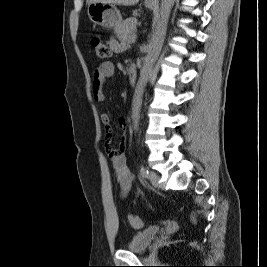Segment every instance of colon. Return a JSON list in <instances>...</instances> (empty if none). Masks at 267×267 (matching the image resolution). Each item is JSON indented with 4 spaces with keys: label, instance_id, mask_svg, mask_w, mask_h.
Masks as SVG:
<instances>
[{
    "label": "colon",
    "instance_id": "colon-1",
    "mask_svg": "<svg viewBox=\"0 0 267 267\" xmlns=\"http://www.w3.org/2000/svg\"><path fill=\"white\" fill-rule=\"evenodd\" d=\"M92 46L95 50L96 55L99 58H108L111 55V49L110 47L101 41L99 38H94L92 40ZM129 222L132 227L139 229L143 226L142 219L137 215H130L129 216Z\"/></svg>",
    "mask_w": 267,
    "mask_h": 267
}]
</instances>
